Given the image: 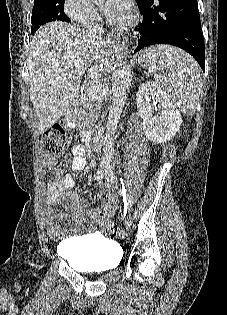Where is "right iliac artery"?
I'll list each match as a JSON object with an SVG mask.
<instances>
[{
	"label": "right iliac artery",
	"mask_w": 227,
	"mask_h": 315,
	"mask_svg": "<svg viewBox=\"0 0 227 315\" xmlns=\"http://www.w3.org/2000/svg\"><path fill=\"white\" fill-rule=\"evenodd\" d=\"M106 174V170L104 169H100L97 171V173L94 175V179L95 180H101L105 177Z\"/></svg>",
	"instance_id": "right-iliac-artery-1"
}]
</instances>
